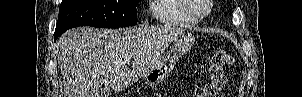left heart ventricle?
<instances>
[{
  "label": "left heart ventricle",
  "instance_id": "1",
  "mask_svg": "<svg viewBox=\"0 0 302 97\" xmlns=\"http://www.w3.org/2000/svg\"><path fill=\"white\" fill-rule=\"evenodd\" d=\"M192 9L199 14L205 13L207 11L206 0H189Z\"/></svg>",
  "mask_w": 302,
  "mask_h": 97
}]
</instances>
